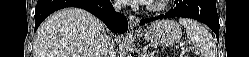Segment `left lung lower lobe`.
I'll use <instances>...</instances> for the list:
<instances>
[{
  "mask_svg": "<svg viewBox=\"0 0 249 57\" xmlns=\"http://www.w3.org/2000/svg\"><path fill=\"white\" fill-rule=\"evenodd\" d=\"M166 17H186L199 20L210 27L219 39L220 25L215 0H175V6L169 12L157 17L142 19L140 25Z\"/></svg>",
  "mask_w": 249,
  "mask_h": 57,
  "instance_id": "obj_1",
  "label": "left lung lower lobe"
}]
</instances>
